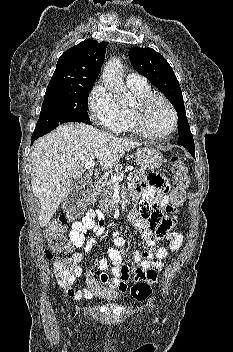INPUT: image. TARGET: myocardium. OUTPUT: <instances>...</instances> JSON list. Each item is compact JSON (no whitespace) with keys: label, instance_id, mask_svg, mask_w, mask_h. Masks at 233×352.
<instances>
[{"label":"myocardium","instance_id":"obj_1","mask_svg":"<svg viewBox=\"0 0 233 352\" xmlns=\"http://www.w3.org/2000/svg\"><path fill=\"white\" fill-rule=\"evenodd\" d=\"M162 101L171 111L172 118H173V123L172 127L163 133H154L151 132L145 123V116H146V111L148 107L154 102V101ZM131 114H132V119L133 123L135 126L136 131L147 138L150 139H162L170 134H172L178 125V115L175 107L173 104L164 96L159 95V94H149L147 96H144L142 98L137 99L135 105L131 108Z\"/></svg>","mask_w":233,"mask_h":352}]
</instances>
